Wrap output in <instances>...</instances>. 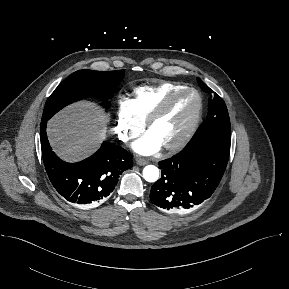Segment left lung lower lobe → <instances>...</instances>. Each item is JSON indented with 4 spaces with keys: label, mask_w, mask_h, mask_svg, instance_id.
Returning a JSON list of instances; mask_svg holds the SVG:
<instances>
[{
    "label": "left lung lower lobe",
    "mask_w": 289,
    "mask_h": 289,
    "mask_svg": "<svg viewBox=\"0 0 289 289\" xmlns=\"http://www.w3.org/2000/svg\"><path fill=\"white\" fill-rule=\"evenodd\" d=\"M230 141L202 140L160 161L161 178L151 187V202L164 211L183 213L208 199L226 169Z\"/></svg>",
    "instance_id": "1"
}]
</instances>
